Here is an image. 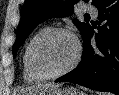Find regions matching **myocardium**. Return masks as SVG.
<instances>
[{
  "mask_svg": "<svg viewBox=\"0 0 119 95\" xmlns=\"http://www.w3.org/2000/svg\"><path fill=\"white\" fill-rule=\"evenodd\" d=\"M59 34L68 35L74 40L76 45L75 57L72 60V62L64 69L55 73H48L44 71L38 63V51L45 41ZM81 57H82V46L76 35L69 29L57 27L51 28L50 30L46 31L36 39L30 51V64L34 72L43 79H56L74 70L79 64Z\"/></svg>",
  "mask_w": 119,
  "mask_h": 95,
  "instance_id": "1",
  "label": "myocardium"
}]
</instances>
